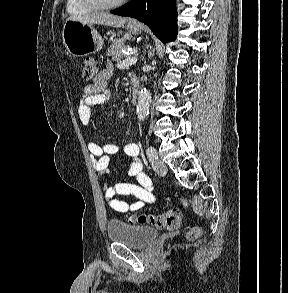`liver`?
Wrapping results in <instances>:
<instances>
[{"label": "liver", "instance_id": "6515ba94", "mask_svg": "<svg viewBox=\"0 0 288 293\" xmlns=\"http://www.w3.org/2000/svg\"><path fill=\"white\" fill-rule=\"evenodd\" d=\"M67 20H77L89 25L98 24L117 28L123 26L127 21L124 17L112 15L107 12L73 14Z\"/></svg>", "mask_w": 288, "mask_h": 293}]
</instances>
